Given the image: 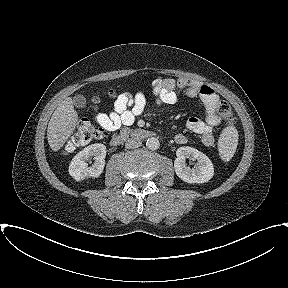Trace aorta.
<instances>
[{
	"instance_id": "1",
	"label": "aorta",
	"mask_w": 288,
	"mask_h": 288,
	"mask_svg": "<svg viewBox=\"0 0 288 288\" xmlns=\"http://www.w3.org/2000/svg\"><path fill=\"white\" fill-rule=\"evenodd\" d=\"M146 146L150 150H157L160 146V142L156 137H150L146 141Z\"/></svg>"
}]
</instances>
